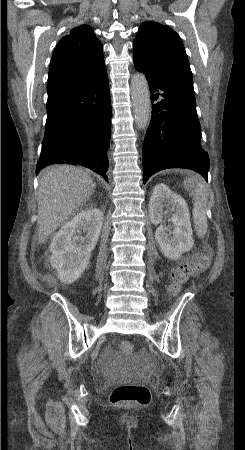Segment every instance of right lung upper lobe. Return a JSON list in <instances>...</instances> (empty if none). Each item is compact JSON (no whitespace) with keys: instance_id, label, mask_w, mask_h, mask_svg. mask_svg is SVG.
Here are the masks:
<instances>
[{"instance_id":"obj_1","label":"right lung upper lobe","mask_w":245,"mask_h":450,"mask_svg":"<svg viewBox=\"0 0 245 450\" xmlns=\"http://www.w3.org/2000/svg\"><path fill=\"white\" fill-rule=\"evenodd\" d=\"M102 44L90 26L71 30L57 44L50 62L47 107L76 91L102 71Z\"/></svg>"}]
</instances>
